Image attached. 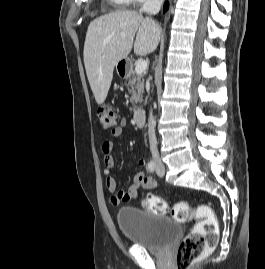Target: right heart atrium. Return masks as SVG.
Returning <instances> with one entry per match:
<instances>
[{
  "mask_svg": "<svg viewBox=\"0 0 265 269\" xmlns=\"http://www.w3.org/2000/svg\"><path fill=\"white\" fill-rule=\"evenodd\" d=\"M147 1H151V0H129V2L134 5H139Z\"/></svg>",
  "mask_w": 265,
  "mask_h": 269,
  "instance_id": "obj_1",
  "label": "right heart atrium"
}]
</instances>
